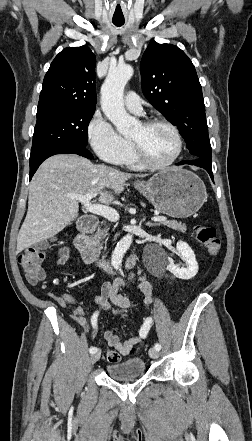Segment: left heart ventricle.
<instances>
[{"mask_svg": "<svg viewBox=\"0 0 252 441\" xmlns=\"http://www.w3.org/2000/svg\"><path fill=\"white\" fill-rule=\"evenodd\" d=\"M130 139L141 147L146 157L153 163L168 161L175 154L177 148L172 131L161 125L145 128L139 124Z\"/></svg>", "mask_w": 252, "mask_h": 441, "instance_id": "obj_1", "label": "left heart ventricle"}]
</instances>
